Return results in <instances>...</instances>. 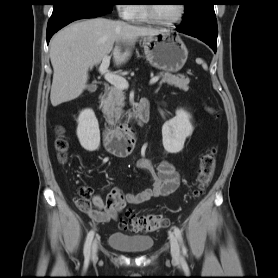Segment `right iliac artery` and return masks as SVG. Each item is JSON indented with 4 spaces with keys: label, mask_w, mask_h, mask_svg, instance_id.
I'll return each instance as SVG.
<instances>
[{
    "label": "right iliac artery",
    "mask_w": 278,
    "mask_h": 278,
    "mask_svg": "<svg viewBox=\"0 0 278 278\" xmlns=\"http://www.w3.org/2000/svg\"><path fill=\"white\" fill-rule=\"evenodd\" d=\"M94 237V230H91L88 234H87V238L84 244V257L85 259H89L90 257V248H91V243Z\"/></svg>",
    "instance_id": "right-iliac-artery-1"
}]
</instances>
